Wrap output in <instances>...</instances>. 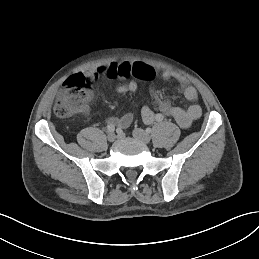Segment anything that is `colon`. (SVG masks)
Listing matches in <instances>:
<instances>
[{
  "instance_id": "colon-1",
  "label": "colon",
  "mask_w": 259,
  "mask_h": 259,
  "mask_svg": "<svg viewBox=\"0 0 259 259\" xmlns=\"http://www.w3.org/2000/svg\"><path fill=\"white\" fill-rule=\"evenodd\" d=\"M91 98L87 79L76 74L63 83L54 111L58 117L67 118L83 111Z\"/></svg>"
}]
</instances>
